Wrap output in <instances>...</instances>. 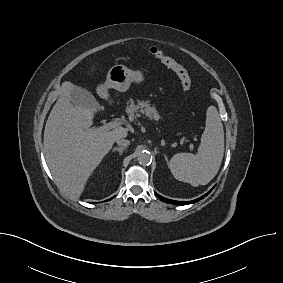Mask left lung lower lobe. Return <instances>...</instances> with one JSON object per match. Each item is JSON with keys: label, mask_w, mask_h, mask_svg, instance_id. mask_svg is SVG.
Wrapping results in <instances>:
<instances>
[{"label": "left lung lower lobe", "mask_w": 283, "mask_h": 283, "mask_svg": "<svg viewBox=\"0 0 283 283\" xmlns=\"http://www.w3.org/2000/svg\"><path fill=\"white\" fill-rule=\"evenodd\" d=\"M211 191H209L207 194L203 195L202 197L200 198H197L195 200H192V201H187V202H183V201H175V200H170V199H167V198H164L160 195H158L156 193V195L164 202L166 203H170V204H175V205H187V204H192V203H195V202H198L199 200L203 199L204 197H206Z\"/></svg>", "instance_id": "obj_1"}]
</instances>
